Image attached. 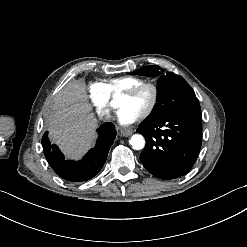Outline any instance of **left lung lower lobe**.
Instances as JSON below:
<instances>
[{
	"label": "left lung lower lobe",
	"instance_id": "1",
	"mask_svg": "<svg viewBox=\"0 0 247 247\" xmlns=\"http://www.w3.org/2000/svg\"><path fill=\"white\" fill-rule=\"evenodd\" d=\"M137 132L146 139L140 155L155 177L170 180L185 175L194 165L202 142L201 116L179 112L154 122H142Z\"/></svg>",
	"mask_w": 247,
	"mask_h": 247
}]
</instances>
